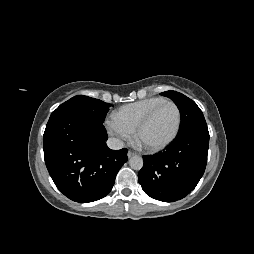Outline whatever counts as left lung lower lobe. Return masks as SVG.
<instances>
[{
  "mask_svg": "<svg viewBox=\"0 0 254 254\" xmlns=\"http://www.w3.org/2000/svg\"><path fill=\"white\" fill-rule=\"evenodd\" d=\"M208 146V129H195L178 135L163 152L143 156L144 165L138 173L143 191L164 202L184 198L205 171Z\"/></svg>",
  "mask_w": 254,
  "mask_h": 254,
  "instance_id": "1",
  "label": "left lung lower lobe"
}]
</instances>
